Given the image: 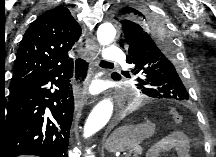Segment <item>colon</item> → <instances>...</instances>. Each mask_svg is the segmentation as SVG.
<instances>
[{
  "label": "colon",
  "instance_id": "1",
  "mask_svg": "<svg viewBox=\"0 0 216 157\" xmlns=\"http://www.w3.org/2000/svg\"><path fill=\"white\" fill-rule=\"evenodd\" d=\"M170 116L176 124H180L183 121V117L177 109H171Z\"/></svg>",
  "mask_w": 216,
  "mask_h": 157
}]
</instances>
